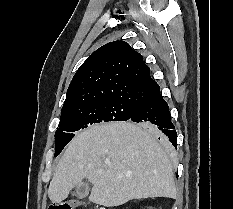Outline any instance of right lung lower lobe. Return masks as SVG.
I'll list each match as a JSON object with an SVG mask.
<instances>
[{
	"instance_id": "98d812e1",
	"label": "right lung lower lobe",
	"mask_w": 233,
	"mask_h": 209,
	"mask_svg": "<svg viewBox=\"0 0 233 209\" xmlns=\"http://www.w3.org/2000/svg\"><path fill=\"white\" fill-rule=\"evenodd\" d=\"M129 120L154 127L159 133L167 135L169 141L177 148V133L171 122L169 107L160 93L140 105Z\"/></svg>"
}]
</instances>
